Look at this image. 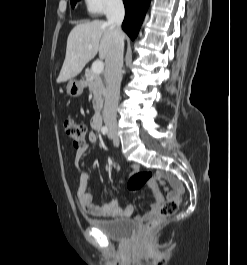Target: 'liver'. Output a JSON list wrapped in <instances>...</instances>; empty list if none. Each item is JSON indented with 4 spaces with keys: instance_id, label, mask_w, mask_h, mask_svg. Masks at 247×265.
<instances>
[{
    "instance_id": "liver-1",
    "label": "liver",
    "mask_w": 247,
    "mask_h": 265,
    "mask_svg": "<svg viewBox=\"0 0 247 265\" xmlns=\"http://www.w3.org/2000/svg\"><path fill=\"white\" fill-rule=\"evenodd\" d=\"M113 34V26L106 21L76 25L68 36L65 60L57 82L76 77L98 52L99 57L104 59L112 45Z\"/></svg>"
}]
</instances>
